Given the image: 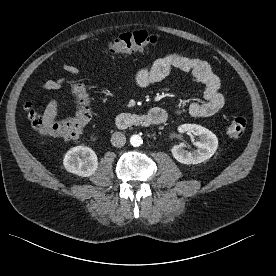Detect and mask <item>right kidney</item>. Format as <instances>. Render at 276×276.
Returning <instances> with one entry per match:
<instances>
[{
	"label": "right kidney",
	"instance_id": "obj_1",
	"mask_svg": "<svg viewBox=\"0 0 276 276\" xmlns=\"http://www.w3.org/2000/svg\"><path fill=\"white\" fill-rule=\"evenodd\" d=\"M63 165L70 173L82 177H89L98 168V158L91 148L87 146H76L65 154Z\"/></svg>",
	"mask_w": 276,
	"mask_h": 276
}]
</instances>
